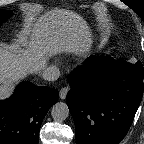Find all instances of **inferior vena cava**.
Wrapping results in <instances>:
<instances>
[{
  "label": "inferior vena cava",
  "instance_id": "602c4592",
  "mask_svg": "<svg viewBox=\"0 0 144 144\" xmlns=\"http://www.w3.org/2000/svg\"><path fill=\"white\" fill-rule=\"evenodd\" d=\"M60 76V70L57 67L50 66L44 69L42 73L43 79L47 81H55Z\"/></svg>",
  "mask_w": 144,
  "mask_h": 144
}]
</instances>
